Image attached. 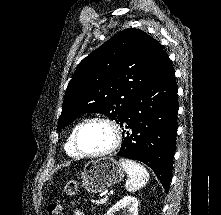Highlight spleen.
I'll return each mask as SVG.
<instances>
[{
    "label": "spleen",
    "instance_id": "1",
    "mask_svg": "<svg viewBox=\"0 0 221 215\" xmlns=\"http://www.w3.org/2000/svg\"><path fill=\"white\" fill-rule=\"evenodd\" d=\"M119 163L128 175L125 188L127 191L133 192L144 187L149 179L146 168L141 164L126 158H121Z\"/></svg>",
    "mask_w": 221,
    "mask_h": 215
}]
</instances>
